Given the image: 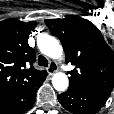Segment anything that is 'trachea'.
<instances>
[{
	"mask_svg": "<svg viewBox=\"0 0 114 114\" xmlns=\"http://www.w3.org/2000/svg\"><path fill=\"white\" fill-rule=\"evenodd\" d=\"M38 65L47 67L48 66V60L44 56L40 55L38 57Z\"/></svg>",
	"mask_w": 114,
	"mask_h": 114,
	"instance_id": "trachea-1",
	"label": "trachea"
}]
</instances>
